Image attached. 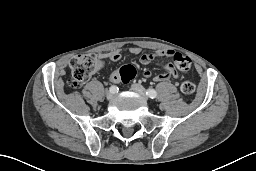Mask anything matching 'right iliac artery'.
<instances>
[{"label":"right iliac artery","mask_w":256,"mask_h":171,"mask_svg":"<svg viewBox=\"0 0 256 171\" xmlns=\"http://www.w3.org/2000/svg\"><path fill=\"white\" fill-rule=\"evenodd\" d=\"M117 87L116 86H111L110 87V91H112L113 93H115L117 91Z\"/></svg>","instance_id":"1"}]
</instances>
